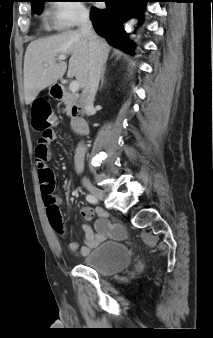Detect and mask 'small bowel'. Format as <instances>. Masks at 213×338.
Wrapping results in <instances>:
<instances>
[{"mask_svg":"<svg viewBox=\"0 0 213 338\" xmlns=\"http://www.w3.org/2000/svg\"><path fill=\"white\" fill-rule=\"evenodd\" d=\"M56 139V134L52 133L51 136H42L35 148V160L39 165L44 164L47 165L51 158V150L50 146L51 143ZM86 148L84 145H79L75 156H74V163L75 168L78 172L83 169L84 159H85ZM63 199L61 196H57L55 198L54 207L59 210V206L62 203ZM50 209L47 208V215L49 218ZM94 214V210L90 207H84L81 210V215L86 218L90 219ZM97 214L101 218L95 225L96 231H94L89 225H82L81 230L84 233L85 237V245L81 246L78 241H73L68 245V252L70 255L78 256V255H85L87 254L91 248L97 246L102 241L107 239L109 236H125V231L120 228L116 227L105 220V213L103 210H98ZM55 230L58 232H64L65 226L61 223L58 227H54Z\"/></svg>","mask_w":213,"mask_h":338,"instance_id":"small-bowel-1","label":"small bowel"}]
</instances>
